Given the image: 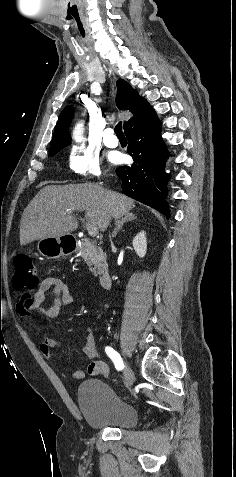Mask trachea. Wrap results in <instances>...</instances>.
Segmentation results:
<instances>
[{
    "label": "trachea",
    "instance_id": "trachea-1",
    "mask_svg": "<svg viewBox=\"0 0 236 477\" xmlns=\"http://www.w3.org/2000/svg\"><path fill=\"white\" fill-rule=\"evenodd\" d=\"M115 133L118 138H125V135L122 131V122H118V124L115 126Z\"/></svg>",
    "mask_w": 236,
    "mask_h": 477
}]
</instances>
